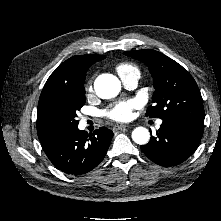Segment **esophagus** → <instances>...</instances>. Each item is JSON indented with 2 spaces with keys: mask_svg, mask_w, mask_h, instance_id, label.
I'll return each mask as SVG.
<instances>
[{
  "mask_svg": "<svg viewBox=\"0 0 221 221\" xmlns=\"http://www.w3.org/2000/svg\"><path fill=\"white\" fill-rule=\"evenodd\" d=\"M130 127L131 126L121 124V125L114 126L113 130H125V129H128Z\"/></svg>",
  "mask_w": 221,
  "mask_h": 221,
  "instance_id": "34e87169",
  "label": "esophagus"
}]
</instances>
